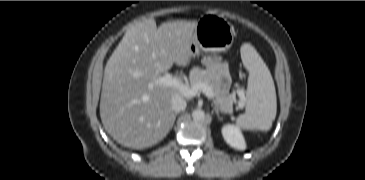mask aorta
<instances>
[{"mask_svg":"<svg viewBox=\"0 0 365 180\" xmlns=\"http://www.w3.org/2000/svg\"><path fill=\"white\" fill-rule=\"evenodd\" d=\"M192 117L196 121H203L205 119V113L203 110L197 109L193 111Z\"/></svg>","mask_w":365,"mask_h":180,"instance_id":"aorta-1","label":"aorta"}]
</instances>
